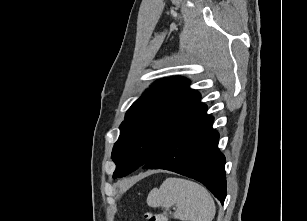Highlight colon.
Here are the masks:
<instances>
[{
	"mask_svg": "<svg viewBox=\"0 0 307 221\" xmlns=\"http://www.w3.org/2000/svg\"><path fill=\"white\" fill-rule=\"evenodd\" d=\"M147 221H167L166 217L158 211H149L145 214Z\"/></svg>",
	"mask_w": 307,
	"mask_h": 221,
	"instance_id": "1",
	"label": "colon"
}]
</instances>
